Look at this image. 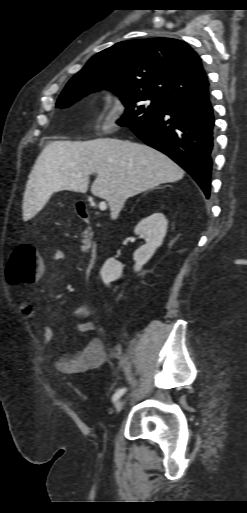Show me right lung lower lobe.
Segmentation results:
<instances>
[{"label":"right lung lower lobe","instance_id":"right-lung-lower-lobe-1","mask_svg":"<svg viewBox=\"0 0 247 513\" xmlns=\"http://www.w3.org/2000/svg\"><path fill=\"white\" fill-rule=\"evenodd\" d=\"M214 116L209 97L166 103L152 118L131 126L147 145L185 169L210 195Z\"/></svg>","mask_w":247,"mask_h":513}]
</instances>
